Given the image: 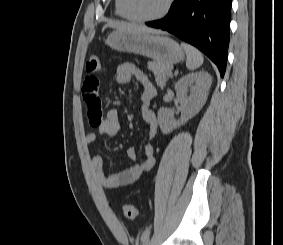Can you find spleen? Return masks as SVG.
<instances>
[{
  "mask_svg": "<svg viewBox=\"0 0 283 245\" xmlns=\"http://www.w3.org/2000/svg\"><path fill=\"white\" fill-rule=\"evenodd\" d=\"M181 46L186 52V67L189 70H195L203 64L204 58L198 49L187 43H182Z\"/></svg>",
  "mask_w": 283,
  "mask_h": 245,
  "instance_id": "obj_1",
  "label": "spleen"
}]
</instances>
